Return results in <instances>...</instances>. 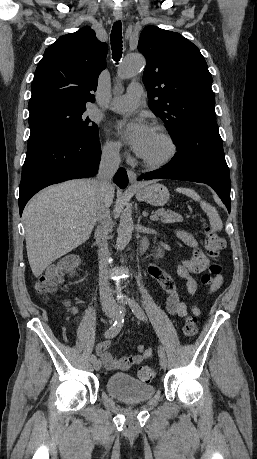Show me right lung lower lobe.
Listing matches in <instances>:
<instances>
[{
    "instance_id": "obj_1",
    "label": "right lung lower lobe",
    "mask_w": 257,
    "mask_h": 459,
    "mask_svg": "<svg viewBox=\"0 0 257 459\" xmlns=\"http://www.w3.org/2000/svg\"><path fill=\"white\" fill-rule=\"evenodd\" d=\"M100 156L98 136L83 138L50 129L32 130L20 182V216L28 200L44 187L95 175ZM114 181L122 189L127 186L128 176L123 168L118 169Z\"/></svg>"
}]
</instances>
